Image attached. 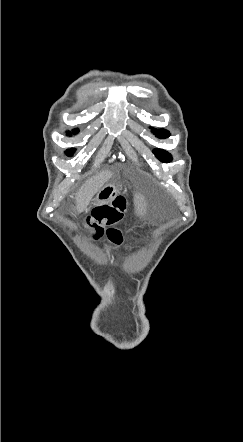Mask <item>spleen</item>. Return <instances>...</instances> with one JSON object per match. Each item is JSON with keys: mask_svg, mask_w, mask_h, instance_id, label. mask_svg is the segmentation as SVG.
Instances as JSON below:
<instances>
[{"mask_svg": "<svg viewBox=\"0 0 243 442\" xmlns=\"http://www.w3.org/2000/svg\"><path fill=\"white\" fill-rule=\"evenodd\" d=\"M131 200L132 202H145L146 195L145 193H132Z\"/></svg>", "mask_w": 243, "mask_h": 442, "instance_id": "obj_1", "label": "spleen"}]
</instances>
